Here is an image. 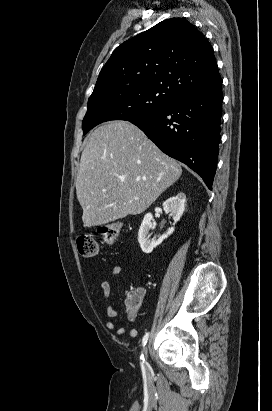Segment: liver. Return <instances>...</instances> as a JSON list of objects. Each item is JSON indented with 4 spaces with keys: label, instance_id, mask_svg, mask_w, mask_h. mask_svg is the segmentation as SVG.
Segmentation results:
<instances>
[{
    "label": "liver",
    "instance_id": "obj_1",
    "mask_svg": "<svg viewBox=\"0 0 272 411\" xmlns=\"http://www.w3.org/2000/svg\"><path fill=\"white\" fill-rule=\"evenodd\" d=\"M182 174L135 125L111 121L92 132L76 179L84 227L144 212Z\"/></svg>",
    "mask_w": 272,
    "mask_h": 411
}]
</instances>
